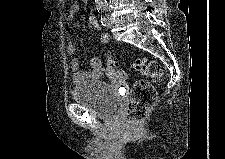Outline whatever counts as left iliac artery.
Wrapping results in <instances>:
<instances>
[{"mask_svg": "<svg viewBox=\"0 0 225 159\" xmlns=\"http://www.w3.org/2000/svg\"><path fill=\"white\" fill-rule=\"evenodd\" d=\"M98 12L101 14V23L103 26L107 25L108 21V15H107V8L106 7H101L98 9Z\"/></svg>", "mask_w": 225, "mask_h": 159, "instance_id": "left-iliac-artery-1", "label": "left iliac artery"}]
</instances>
